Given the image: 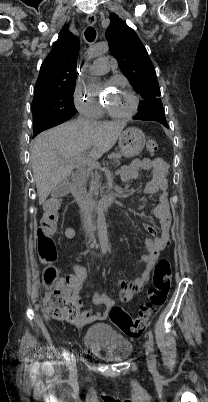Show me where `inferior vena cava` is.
<instances>
[{"label": "inferior vena cava", "instance_id": "obj_1", "mask_svg": "<svg viewBox=\"0 0 208 402\" xmlns=\"http://www.w3.org/2000/svg\"><path fill=\"white\" fill-rule=\"evenodd\" d=\"M76 124H90L92 120L90 118H85V116H78L77 120H75ZM81 212L83 216V222H84V228L85 232L90 240V242H93L94 240V226H93V220H92V214L90 212V208L87 204V202H84L83 206H81Z\"/></svg>", "mask_w": 208, "mask_h": 402}]
</instances>
